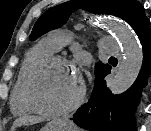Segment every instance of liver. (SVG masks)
Returning a JSON list of instances; mask_svg holds the SVG:
<instances>
[{"mask_svg":"<svg viewBox=\"0 0 151 131\" xmlns=\"http://www.w3.org/2000/svg\"><path fill=\"white\" fill-rule=\"evenodd\" d=\"M43 120L44 119L41 117L23 116V117L17 118L11 127V131H15V129L19 126L27 125V124H35V123H39Z\"/></svg>","mask_w":151,"mask_h":131,"instance_id":"1","label":"liver"}]
</instances>
